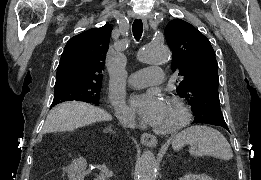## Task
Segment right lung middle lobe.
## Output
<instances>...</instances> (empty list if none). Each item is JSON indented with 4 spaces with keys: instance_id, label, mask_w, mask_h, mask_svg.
<instances>
[{
    "instance_id": "1",
    "label": "right lung middle lobe",
    "mask_w": 261,
    "mask_h": 180,
    "mask_svg": "<svg viewBox=\"0 0 261 180\" xmlns=\"http://www.w3.org/2000/svg\"><path fill=\"white\" fill-rule=\"evenodd\" d=\"M101 83L65 82L55 85L52 106L65 101H84L98 105Z\"/></svg>"
}]
</instances>
